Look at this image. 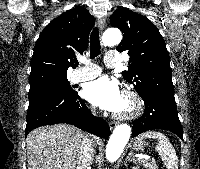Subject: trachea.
<instances>
[{
	"label": "trachea",
	"mask_w": 200,
	"mask_h": 169,
	"mask_svg": "<svg viewBox=\"0 0 200 169\" xmlns=\"http://www.w3.org/2000/svg\"><path fill=\"white\" fill-rule=\"evenodd\" d=\"M100 53H101V47H100L99 31L98 28L95 27L90 35V58L94 59ZM77 64L78 63H76L75 66H77Z\"/></svg>",
	"instance_id": "1"
}]
</instances>
